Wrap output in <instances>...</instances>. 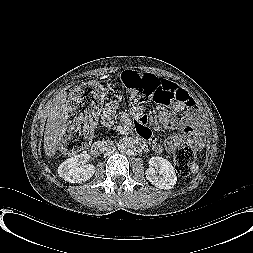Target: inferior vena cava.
Here are the masks:
<instances>
[{
    "label": "inferior vena cava",
    "instance_id": "602c4592",
    "mask_svg": "<svg viewBox=\"0 0 253 253\" xmlns=\"http://www.w3.org/2000/svg\"><path fill=\"white\" fill-rule=\"evenodd\" d=\"M115 152V149L113 147H110L108 149V153L113 154Z\"/></svg>",
    "mask_w": 253,
    "mask_h": 253
}]
</instances>
